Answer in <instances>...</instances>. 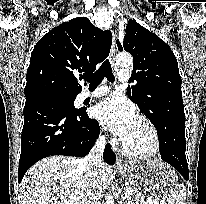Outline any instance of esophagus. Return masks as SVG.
<instances>
[{"instance_id": "esophagus-1", "label": "esophagus", "mask_w": 206, "mask_h": 204, "mask_svg": "<svg viewBox=\"0 0 206 204\" xmlns=\"http://www.w3.org/2000/svg\"><path fill=\"white\" fill-rule=\"evenodd\" d=\"M115 39H116L115 33L112 31V46H111V50H110V61H111L112 65H115V56H116V52H117ZM116 167L118 169L124 168V164L122 163L121 159H117Z\"/></svg>"}]
</instances>
